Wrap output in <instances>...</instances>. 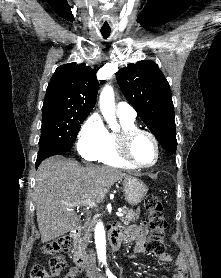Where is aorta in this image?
I'll list each match as a JSON object with an SVG mask.
<instances>
[{"instance_id": "1", "label": "aorta", "mask_w": 221, "mask_h": 278, "mask_svg": "<svg viewBox=\"0 0 221 278\" xmlns=\"http://www.w3.org/2000/svg\"><path fill=\"white\" fill-rule=\"evenodd\" d=\"M100 111L105 120L112 125L116 120L115 98L112 86L106 85L99 98ZM95 244L100 261L106 260V238L104 225L100 221L95 228Z\"/></svg>"}]
</instances>
